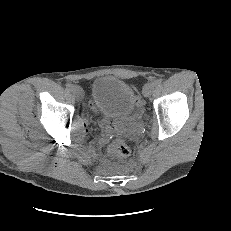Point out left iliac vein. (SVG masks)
Returning a JSON list of instances; mask_svg holds the SVG:
<instances>
[{"instance_id": "obj_1", "label": "left iliac vein", "mask_w": 231, "mask_h": 231, "mask_svg": "<svg viewBox=\"0 0 231 231\" xmlns=\"http://www.w3.org/2000/svg\"><path fill=\"white\" fill-rule=\"evenodd\" d=\"M154 90V84L149 82L147 84H145L144 88H143V95L145 97H150L153 93Z\"/></svg>"}]
</instances>
